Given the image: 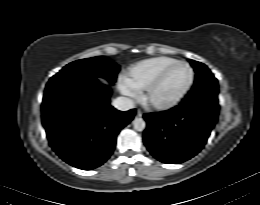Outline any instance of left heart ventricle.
<instances>
[{
  "mask_svg": "<svg viewBox=\"0 0 260 205\" xmlns=\"http://www.w3.org/2000/svg\"><path fill=\"white\" fill-rule=\"evenodd\" d=\"M190 70L185 65H176L171 68L162 81L152 90L151 100L167 102L177 97L190 81Z\"/></svg>",
  "mask_w": 260,
  "mask_h": 205,
  "instance_id": "1",
  "label": "left heart ventricle"
}]
</instances>
